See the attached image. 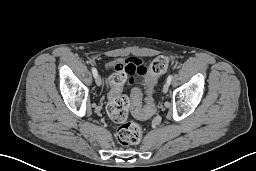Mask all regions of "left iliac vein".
I'll use <instances>...</instances> for the list:
<instances>
[{
  "instance_id": "4c4485c4",
  "label": "left iliac vein",
  "mask_w": 256,
  "mask_h": 171,
  "mask_svg": "<svg viewBox=\"0 0 256 171\" xmlns=\"http://www.w3.org/2000/svg\"><path fill=\"white\" fill-rule=\"evenodd\" d=\"M169 86H170V84L167 83V82L164 84L163 89H162L164 93H167V92H168Z\"/></svg>"
}]
</instances>
